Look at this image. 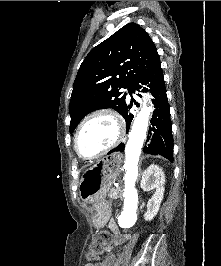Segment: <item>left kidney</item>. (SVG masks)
<instances>
[{
  "label": "left kidney",
  "instance_id": "1",
  "mask_svg": "<svg viewBox=\"0 0 221 266\" xmlns=\"http://www.w3.org/2000/svg\"><path fill=\"white\" fill-rule=\"evenodd\" d=\"M165 174L159 166L152 164L143 173L141 186L143 189H156L152 198L148 201L147 212L144 215L146 221H151L158 213L164 197Z\"/></svg>",
  "mask_w": 221,
  "mask_h": 266
}]
</instances>
